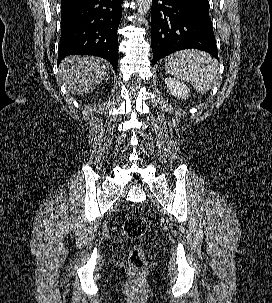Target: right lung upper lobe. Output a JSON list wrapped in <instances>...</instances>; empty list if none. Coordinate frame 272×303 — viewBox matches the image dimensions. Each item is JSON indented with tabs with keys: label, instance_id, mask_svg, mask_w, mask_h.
Listing matches in <instances>:
<instances>
[{
	"label": "right lung upper lobe",
	"instance_id": "obj_1",
	"mask_svg": "<svg viewBox=\"0 0 272 303\" xmlns=\"http://www.w3.org/2000/svg\"><path fill=\"white\" fill-rule=\"evenodd\" d=\"M78 1H81V0H62L61 7H66V6L72 5Z\"/></svg>",
	"mask_w": 272,
	"mask_h": 303
}]
</instances>
